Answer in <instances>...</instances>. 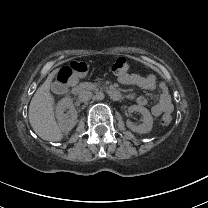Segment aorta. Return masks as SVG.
I'll use <instances>...</instances> for the list:
<instances>
[{
    "mask_svg": "<svg viewBox=\"0 0 208 208\" xmlns=\"http://www.w3.org/2000/svg\"><path fill=\"white\" fill-rule=\"evenodd\" d=\"M95 99H96L97 102L102 103V102L105 101L106 96H105L104 93L99 92V93L96 94Z\"/></svg>",
    "mask_w": 208,
    "mask_h": 208,
    "instance_id": "obj_1",
    "label": "aorta"
}]
</instances>
